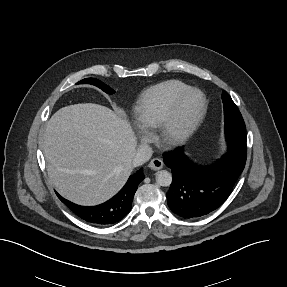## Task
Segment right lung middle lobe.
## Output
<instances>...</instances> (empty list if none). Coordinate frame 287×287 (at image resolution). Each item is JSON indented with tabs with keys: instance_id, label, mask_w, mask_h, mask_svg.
<instances>
[{
	"instance_id": "right-lung-middle-lobe-1",
	"label": "right lung middle lobe",
	"mask_w": 287,
	"mask_h": 287,
	"mask_svg": "<svg viewBox=\"0 0 287 287\" xmlns=\"http://www.w3.org/2000/svg\"><path fill=\"white\" fill-rule=\"evenodd\" d=\"M80 84L83 83H88V84H92L95 85L97 87H99L100 89H102L104 92L108 93V94H113L115 91L113 89H111L110 87H108L106 84H104L103 82L94 79V78H86L82 81L79 82Z\"/></svg>"
}]
</instances>
